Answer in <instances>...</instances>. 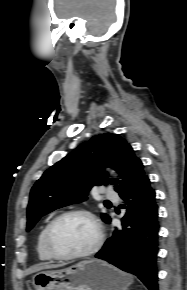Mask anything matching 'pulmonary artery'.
I'll return each mask as SVG.
<instances>
[{"label": "pulmonary artery", "instance_id": "pulmonary-artery-1", "mask_svg": "<svg viewBox=\"0 0 187 290\" xmlns=\"http://www.w3.org/2000/svg\"><path fill=\"white\" fill-rule=\"evenodd\" d=\"M103 195L108 200L116 201L118 199V194L109 188L104 190Z\"/></svg>", "mask_w": 187, "mask_h": 290}]
</instances>
